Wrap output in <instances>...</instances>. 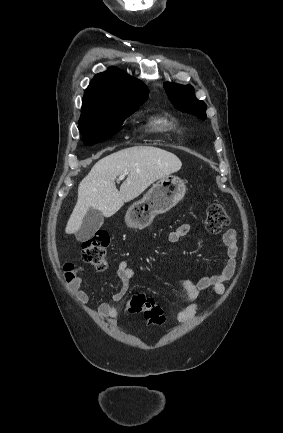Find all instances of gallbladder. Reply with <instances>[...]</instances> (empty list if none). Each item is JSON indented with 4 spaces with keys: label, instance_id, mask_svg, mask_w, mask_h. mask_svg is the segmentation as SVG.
<instances>
[{
    "label": "gallbladder",
    "instance_id": "bac80fb5",
    "mask_svg": "<svg viewBox=\"0 0 283 433\" xmlns=\"http://www.w3.org/2000/svg\"><path fill=\"white\" fill-rule=\"evenodd\" d=\"M103 223L104 214H102L101 210H97V208H89L85 214V217H83L82 225L79 231L75 233L77 241H80V243H85V241H88V239L93 237L94 233L100 229Z\"/></svg>",
    "mask_w": 283,
    "mask_h": 433
}]
</instances>
